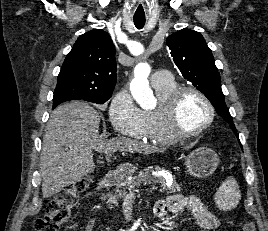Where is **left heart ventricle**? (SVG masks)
I'll use <instances>...</instances> for the list:
<instances>
[{"mask_svg": "<svg viewBox=\"0 0 268 231\" xmlns=\"http://www.w3.org/2000/svg\"><path fill=\"white\" fill-rule=\"evenodd\" d=\"M207 105L194 93H186L178 107V124L183 131H192L208 120Z\"/></svg>", "mask_w": 268, "mask_h": 231, "instance_id": "left-heart-ventricle-1", "label": "left heart ventricle"}]
</instances>
